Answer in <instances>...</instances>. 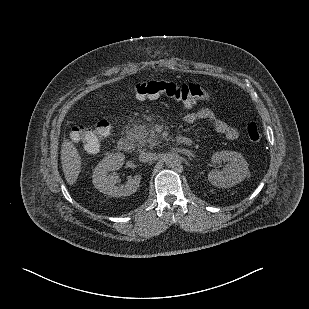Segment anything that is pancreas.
Returning <instances> with one entry per match:
<instances>
[{"mask_svg": "<svg viewBox=\"0 0 309 309\" xmlns=\"http://www.w3.org/2000/svg\"><path fill=\"white\" fill-rule=\"evenodd\" d=\"M136 136L139 138V139H142L143 141L145 142H148L150 143L151 145H153L154 141H155V138L157 137L152 129L148 132V131H145L143 129H139L137 130V134Z\"/></svg>", "mask_w": 309, "mask_h": 309, "instance_id": "pancreas-1", "label": "pancreas"}]
</instances>
